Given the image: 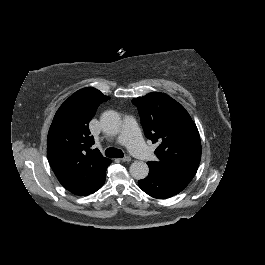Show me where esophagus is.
Returning a JSON list of instances; mask_svg holds the SVG:
<instances>
[{
  "instance_id": "1",
  "label": "esophagus",
  "mask_w": 265,
  "mask_h": 265,
  "mask_svg": "<svg viewBox=\"0 0 265 265\" xmlns=\"http://www.w3.org/2000/svg\"><path fill=\"white\" fill-rule=\"evenodd\" d=\"M120 160L124 161V162H129V161H131V157H129V156L122 157V158H120Z\"/></svg>"
}]
</instances>
